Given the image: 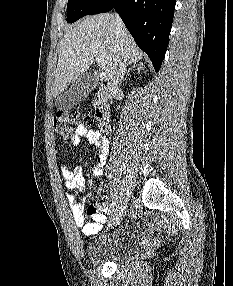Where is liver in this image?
<instances>
[{
    "label": "liver",
    "instance_id": "liver-1",
    "mask_svg": "<svg viewBox=\"0 0 233 286\" xmlns=\"http://www.w3.org/2000/svg\"><path fill=\"white\" fill-rule=\"evenodd\" d=\"M113 14L86 16L72 27L59 43L58 64L52 96L58 97L70 83L83 75L97 59L105 61L96 80L110 81L115 76L117 59L138 63L143 54L124 27L116 29Z\"/></svg>",
    "mask_w": 233,
    "mask_h": 286
}]
</instances>
